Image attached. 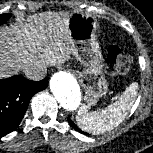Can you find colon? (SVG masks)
<instances>
[{
    "label": "colon",
    "instance_id": "obj_1",
    "mask_svg": "<svg viewBox=\"0 0 153 153\" xmlns=\"http://www.w3.org/2000/svg\"><path fill=\"white\" fill-rule=\"evenodd\" d=\"M104 59L106 62V71L111 75L126 73L131 65L129 55L116 45L108 48Z\"/></svg>",
    "mask_w": 153,
    "mask_h": 153
}]
</instances>
